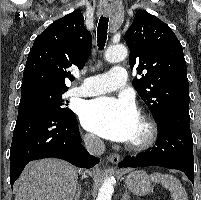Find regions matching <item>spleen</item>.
I'll use <instances>...</instances> for the list:
<instances>
[{
    "label": "spleen",
    "mask_w": 201,
    "mask_h": 200,
    "mask_svg": "<svg viewBox=\"0 0 201 200\" xmlns=\"http://www.w3.org/2000/svg\"><path fill=\"white\" fill-rule=\"evenodd\" d=\"M150 179L152 182L161 183L162 186L168 189L173 200H188L185 188L173 175L155 172L150 175Z\"/></svg>",
    "instance_id": "1"
}]
</instances>
